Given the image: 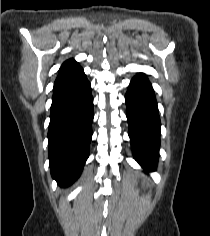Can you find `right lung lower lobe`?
Listing matches in <instances>:
<instances>
[{
    "instance_id": "obj_1",
    "label": "right lung lower lobe",
    "mask_w": 210,
    "mask_h": 236,
    "mask_svg": "<svg viewBox=\"0 0 210 236\" xmlns=\"http://www.w3.org/2000/svg\"><path fill=\"white\" fill-rule=\"evenodd\" d=\"M91 86L78 65L59 71L54 83L48 148L52 177L60 186L73 183L89 156L92 137Z\"/></svg>"
}]
</instances>
